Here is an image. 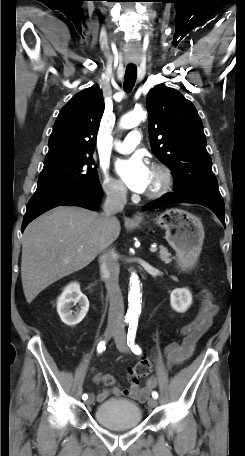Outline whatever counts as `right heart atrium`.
<instances>
[{
	"label": "right heart atrium",
	"mask_w": 245,
	"mask_h": 456,
	"mask_svg": "<svg viewBox=\"0 0 245 456\" xmlns=\"http://www.w3.org/2000/svg\"><path fill=\"white\" fill-rule=\"evenodd\" d=\"M103 188L105 193L112 199L123 200L126 196V190L123 184L107 174L103 176Z\"/></svg>",
	"instance_id": "right-heart-atrium-1"
}]
</instances>
